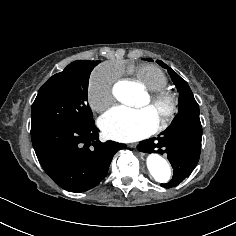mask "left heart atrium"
<instances>
[{"mask_svg": "<svg viewBox=\"0 0 236 236\" xmlns=\"http://www.w3.org/2000/svg\"><path fill=\"white\" fill-rule=\"evenodd\" d=\"M99 125L108 138L120 142H133L154 131L155 118L148 108L117 106L102 115Z\"/></svg>", "mask_w": 236, "mask_h": 236, "instance_id": "obj_1", "label": "left heart atrium"}]
</instances>
